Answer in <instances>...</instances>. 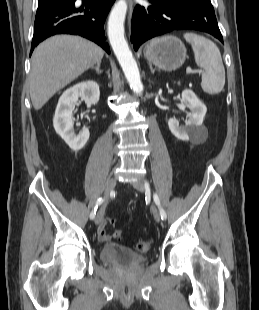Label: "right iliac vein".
<instances>
[{
	"instance_id": "right-iliac-vein-1",
	"label": "right iliac vein",
	"mask_w": 259,
	"mask_h": 310,
	"mask_svg": "<svg viewBox=\"0 0 259 310\" xmlns=\"http://www.w3.org/2000/svg\"><path fill=\"white\" fill-rule=\"evenodd\" d=\"M116 183H117V181L115 178H111L107 182L105 193H104V201H103V204H102V206H101L100 210L98 211L96 218H95V224L96 225H98L104 217V212H105L107 200L109 198L110 193L114 190Z\"/></svg>"
}]
</instances>
